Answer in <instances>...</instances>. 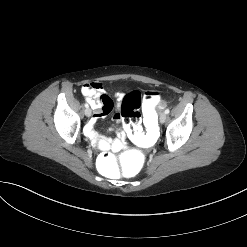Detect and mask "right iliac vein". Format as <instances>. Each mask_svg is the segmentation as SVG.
<instances>
[{"label":"right iliac vein","mask_w":247,"mask_h":247,"mask_svg":"<svg viewBox=\"0 0 247 247\" xmlns=\"http://www.w3.org/2000/svg\"><path fill=\"white\" fill-rule=\"evenodd\" d=\"M91 109L90 108H86L85 109V115L87 116V117H90L91 116Z\"/></svg>","instance_id":"obj_1"}]
</instances>
